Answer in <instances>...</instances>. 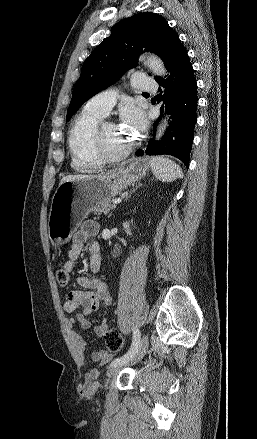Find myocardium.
Segmentation results:
<instances>
[{"label": "myocardium", "instance_id": "obj_1", "mask_svg": "<svg viewBox=\"0 0 257 439\" xmlns=\"http://www.w3.org/2000/svg\"><path fill=\"white\" fill-rule=\"evenodd\" d=\"M103 127L104 126L97 129L95 136V146L101 161H118L125 158L131 152L133 145H128L117 152L108 150L103 134Z\"/></svg>", "mask_w": 257, "mask_h": 439}]
</instances>
